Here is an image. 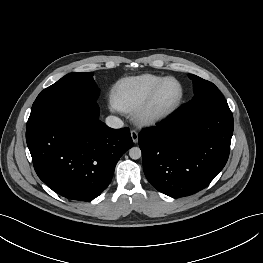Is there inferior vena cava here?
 I'll return each mask as SVG.
<instances>
[{
  "label": "inferior vena cava",
  "instance_id": "1",
  "mask_svg": "<svg viewBox=\"0 0 263 263\" xmlns=\"http://www.w3.org/2000/svg\"><path fill=\"white\" fill-rule=\"evenodd\" d=\"M106 125L113 129H119L123 127L124 123L120 118L116 116H108L106 118Z\"/></svg>",
  "mask_w": 263,
  "mask_h": 263
}]
</instances>
